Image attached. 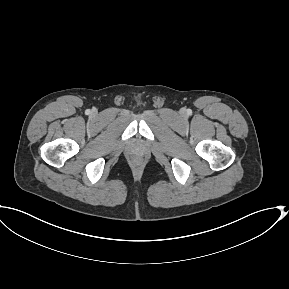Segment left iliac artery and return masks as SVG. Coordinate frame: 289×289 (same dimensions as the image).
<instances>
[{"instance_id":"obj_1","label":"left iliac artery","mask_w":289,"mask_h":289,"mask_svg":"<svg viewBox=\"0 0 289 289\" xmlns=\"http://www.w3.org/2000/svg\"><path fill=\"white\" fill-rule=\"evenodd\" d=\"M188 113L190 114V113H191V110H188Z\"/></svg>"}]
</instances>
